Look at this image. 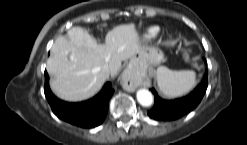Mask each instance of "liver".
<instances>
[{
    "instance_id": "6515ba94",
    "label": "liver",
    "mask_w": 247,
    "mask_h": 145,
    "mask_svg": "<svg viewBox=\"0 0 247 145\" xmlns=\"http://www.w3.org/2000/svg\"><path fill=\"white\" fill-rule=\"evenodd\" d=\"M146 48L142 46L134 24L114 27L98 44L80 27L59 36L47 60V71L53 77L50 87L59 98L81 101L94 96L104 82L116 76L122 61L133 58ZM104 68L109 69L106 75Z\"/></svg>"
}]
</instances>
